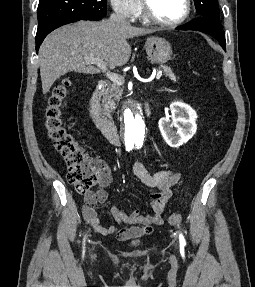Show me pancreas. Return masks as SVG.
<instances>
[{
  "label": "pancreas",
  "mask_w": 255,
  "mask_h": 287,
  "mask_svg": "<svg viewBox=\"0 0 255 287\" xmlns=\"http://www.w3.org/2000/svg\"><path fill=\"white\" fill-rule=\"evenodd\" d=\"M158 70H162V72H165L166 76H168L170 80H173V82H177L174 72H172L171 68H168V66H160ZM122 94V86H118V84H112L110 88H107V90H105L102 98L105 116H109L110 112H112V110H115L116 102H119Z\"/></svg>",
  "instance_id": "obj_1"
}]
</instances>
